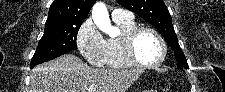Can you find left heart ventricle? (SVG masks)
<instances>
[{"instance_id": "1", "label": "left heart ventricle", "mask_w": 225, "mask_h": 92, "mask_svg": "<svg viewBox=\"0 0 225 92\" xmlns=\"http://www.w3.org/2000/svg\"><path fill=\"white\" fill-rule=\"evenodd\" d=\"M135 53L138 59L146 64L155 63L162 54V49L157 38L150 32H141L134 45Z\"/></svg>"}]
</instances>
